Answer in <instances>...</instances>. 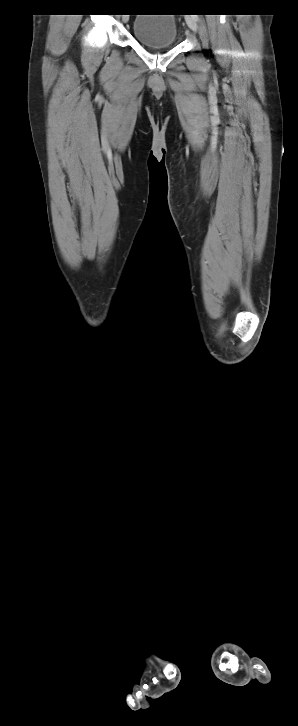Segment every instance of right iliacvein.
I'll return each mask as SVG.
<instances>
[{"instance_id":"right-iliac-vein-1","label":"right iliac vein","mask_w":298,"mask_h":726,"mask_svg":"<svg viewBox=\"0 0 298 726\" xmlns=\"http://www.w3.org/2000/svg\"><path fill=\"white\" fill-rule=\"evenodd\" d=\"M123 21H124V22H127V21H128V16H124V17H123Z\"/></svg>"}]
</instances>
